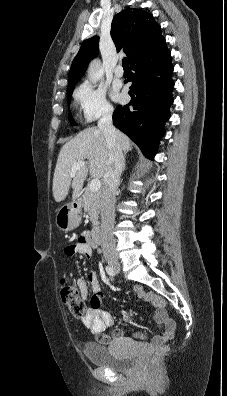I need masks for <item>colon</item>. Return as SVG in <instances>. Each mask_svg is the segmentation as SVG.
Returning <instances> with one entry per match:
<instances>
[{
  "instance_id": "1",
  "label": "colon",
  "mask_w": 227,
  "mask_h": 396,
  "mask_svg": "<svg viewBox=\"0 0 227 396\" xmlns=\"http://www.w3.org/2000/svg\"><path fill=\"white\" fill-rule=\"evenodd\" d=\"M61 298L74 316L83 317L85 315L86 305L80 297L78 289L69 284L65 279L62 281ZM166 350V346L161 347L157 355H161Z\"/></svg>"
}]
</instances>
